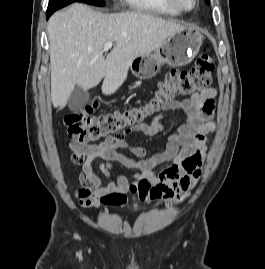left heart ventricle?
<instances>
[{"instance_id": "1", "label": "left heart ventricle", "mask_w": 265, "mask_h": 269, "mask_svg": "<svg viewBox=\"0 0 265 269\" xmlns=\"http://www.w3.org/2000/svg\"><path fill=\"white\" fill-rule=\"evenodd\" d=\"M180 3L186 7H190L192 4V0H179Z\"/></svg>"}]
</instances>
